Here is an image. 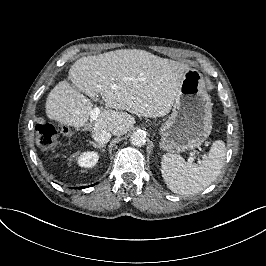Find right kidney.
I'll list each match as a JSON object with an SVG mask.
<instances>
[{
    "label": "right kidney",
    "instance_id": "right-kidney-1",
    "mask_svg": "<svg viewBox=\"0 0 266 266\" xmlns=\"http://www.w3.org/2000/svg\"><path fill=\"white\" fill-rule=\"evenodd\" d=\"M99 155L97 152L94 151H88L82 153L77 160V163L80 167H85V168H91L96 165L98 162Z\"/></svg>",
    "mask_w": 266,
    "mask_h": 266
}]
</instances>
